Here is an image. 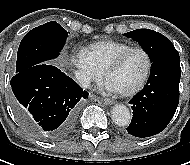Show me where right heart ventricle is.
<instances>
[{
    "label": "right heart ventricle",
    "instance_id": "e07e8e85",
    "mask_svg": "<svg viewBox=\"0 0 190 165\" xmlns=\"http://www.w3.org/2000/svg\"><path fill=\"white\" fill-rule=\"evenodd\" d=\"M131 45L117 40H102L92 43L88 51L96 66L104 73L109 63Z\"/></svg>",
    "mask_w": 190,
    "mask_h": 165
}]
</instances>
